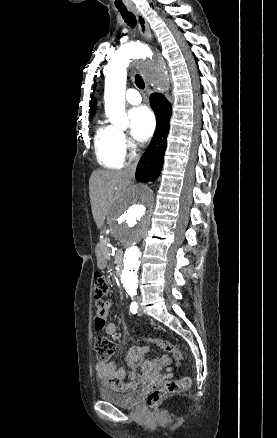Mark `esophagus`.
Segmentation results:
<instances>
[{"mask_svg":"<svg viewBox=\"0 0 277 438\" xmlns=\"http://www.w3.org/2000/svg\"><path fill=\"white\" fill-rule=\"evenodd\" d=\"M131 10H133V12H135L136 17L138 19V26H139V30H140V34L143 38L150 40L151 39V32H150V28L149 25L147 23V20L144 18V16L142 15L141 12H139V10H137L135 7H130ZM157 59L158 62L160 63L161 67H165V62L161 57V54L159 51H157ZM148 88H146L145 93H148Z\"/></svg>","mask_w":277,"mask_h":438,"instance_id":"obj_1","label":"esophagus"}]
</instances>
